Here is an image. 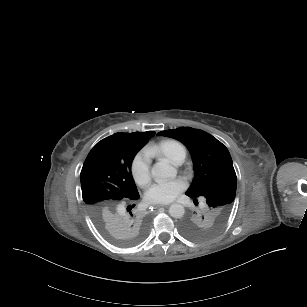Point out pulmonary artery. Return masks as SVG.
Masks as SVG:
<instances>
[{
  "instance_id": "e3ab8cb5",
  "label": "pulmonary artery",
  "mask_w": 307,
  "mask_h": 307,
  "mask_svg": "<svg viewBox=\"0 0 307 307\" xmlns=\"http://www.w3.org/2000/svg\"><path fill=\"white\" fill-rule=\"evenodd\" d=\"M153 151L155 152V153H161L162 152V150H163V146L162 145H154L153 147ZM172 160L175 162V163H177V164H181L182 162H183V160H184V157H182V156H176V157H174V158H172Z\"/></svg>"
}]
</instances>
